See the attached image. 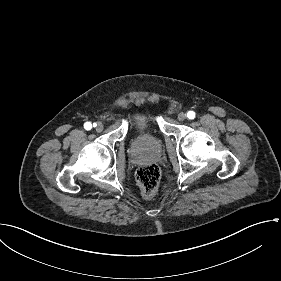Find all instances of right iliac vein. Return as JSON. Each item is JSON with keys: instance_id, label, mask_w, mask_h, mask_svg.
<instances>
[{"instance_id": "obj_1", "label": "right iliac vein", "mask_w": 281, "mask_h": 281, "mask_svg": "<svg viewBox=\"0 0 281 281\" xmlns=\"http://www.w3.org/2000/svg\"><path fill=\"white\" fill-rule=\"evenodd\" d=\"M95 128H96V131L97 132H101L104 128L103 124L101 122H98L96 125H95Z\"/></svg>"}]
</instances>
